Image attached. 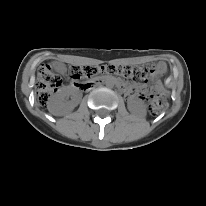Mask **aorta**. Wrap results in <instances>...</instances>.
<instances>
[{"mask_svg":"<svg viewBox=\"0 0 206 206\" xmlns=\"http://www.w3.org/2000/svg\"><path fill=\"white\" fill-rule=\"evenodd\" d=\"M105 84L107 87H110V88L114 86V82L111 78H107L105 81Z\"/></svg>","mask_w":206,"mask_h":206,"instance_id":"obj_1","label":"aorta"}]
</instances>
